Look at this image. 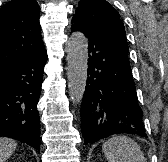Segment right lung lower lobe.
I'll return each instance as SVG.
<instances>
[{
	"instance_id": "right-lung-lower-lobe-1",
	"label": "right lung lower lobe",
	"mask_w": 168,
	"mask_h": 162,
	"mask_svg": "<svg viewBox=\"0 0 168 162\" xmlns=\"http://www.w3.org/2000/svg\"><path fill=\"white\" fill-rule=\"evenodd\" d=\"M46 51L0 70V136L20 140L39 150L41 93Z\"/></svg>"
}]
</instances>
